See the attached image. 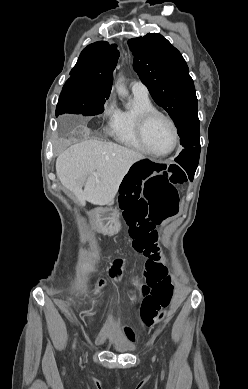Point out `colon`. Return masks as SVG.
Masks as SVG:
<instances>
[{"instance_id":"obj_1","label":"colon","mask_w":248,"mask_h":389,"mask_svg":"<svg viewBox=\"0 0 248 389\" xmlns=\"http://www.w3.org/2000/svg\"><path fill=\"white\" fill-rule=\"evenodd\" d=\"M186 176L176 161H152L151 157H139L133 161L127 175L123 176L117 195L119 206L129 217V233L132 247L148 257L142 275L132 278L134 292L143 298L141 319L150 328L164 317L170 304L174 287L159 263L156 228L178 211L177 186L184 184ZM122 259L113 262L111 273H119ZM102 289L103 280L99 281Z\"/></svg>"}]
</instances>
